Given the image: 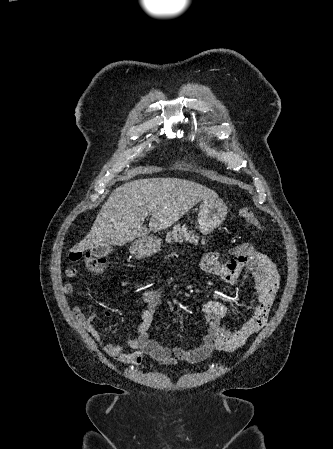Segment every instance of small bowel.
Instances as JSON below:
<instances>
[{
    "instance_id": "c3829d8e",
    "label": "small bowel",
    "mask_w": 333,
    "mask_h": 449,
    "mask_svg": "<svg viewBox=\"0 0 333 449\" xmlns=\"http://www.w3.org/2000/svg\"><path fill=\"white\" fill-rule=\"evenodd\" d=\"M231 255L230 260L221 262L218 254L207 253L201 259V268L207 273L219 275L227 286L237 285L241 272L248 270L253 277L257 303L249 318L236 330H230L221 324V319L227 311L221 301L209 300L203 303L201 310L206 315L207 326L201 342L191 349L163 346L150 337L149 330L154 314L163 296L160 290H146L142 294L141 323L136 329L135 336L126 344H102L94 325L95 315L84 316L80 305L73 306L72 314L84 325L103 351L121 365L137 366L144 360L162 365H173L179 361L197 363L210 356L214 350L235 351L266 325L279 290L280 277L272 261L249 244L235 246L231 250ZM76 274L77 270L74 267L65 270L68 278H73ZM62 291L65 296L75 298L71 283L64 284Z\"/></svg>"
}]
</instances>
